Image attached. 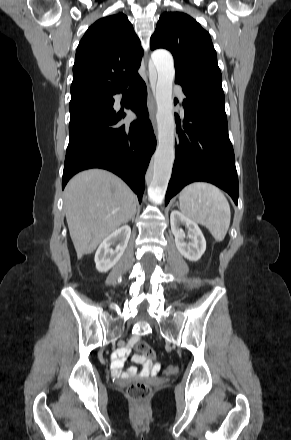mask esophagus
<instances>
[{
	"label": "esophagus",
	"instance_id": "1",
	"mask_svg": "<svg viewBox=\"0 0 291 440\" xmlns=\"http://www.w3.org/2000/svg\"><path fill=\"white\" fill-rule=\"evenodd\" d=\"M147 106H148L150 120H151L153 126L155 127L156 126V118H155L156 108H155L153 95L150 90H148Z\"/></svg>",
	"mask_w": 291,
	"mask_h": 440
}]
</instances>
